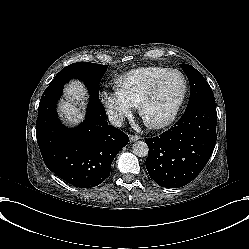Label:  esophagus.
Masks as SVG:
<instances>
[{"label":"esophagus","mask_w":249,"mask_h":249,"mask_svg":"<svg viewBox=\"0 0 249 249\" xmlns=\"http://www.w3.org/2000/svg\"><path fill=\"white\" fill-rule=\"evenodd\" d=\"M139 139H141V137L138 136V135H130V136H129V141H130V143H132V142H134V141H137V140H139Z\"/></svg>","instance_id":"34e87169"}]
</instances>
